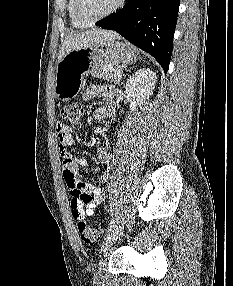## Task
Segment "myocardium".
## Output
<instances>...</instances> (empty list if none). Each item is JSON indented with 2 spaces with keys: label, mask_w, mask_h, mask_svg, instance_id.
Segmentation results:
<instances>
[{
  "label": "myocardium",
  "mask_w": 233,
  "mask_h": 286,
  "mask_svg": "<svg viewBox=\"0 0 233 286\" xmlns=\"http://www.w3.org/2000/svg\"><path fill=\"white\" fill-rule=\"evenodd\" d=\"M124 2L125 0H117L115 5L111 9H109L107 12L103 13L102 15L96 18L88 19L82 13V9H81L82 0H75V13L80 21H82L86 25H92L114 14L117 10H119L123 6Z\"/></svg>",
  "instance_id": "obj_1"
}]
</instances>
